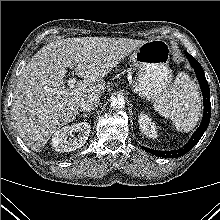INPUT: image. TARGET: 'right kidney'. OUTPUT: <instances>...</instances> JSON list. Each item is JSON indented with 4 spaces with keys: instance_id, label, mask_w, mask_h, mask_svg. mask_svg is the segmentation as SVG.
Returning a JSON list of instances; mask_svg holds the SVG:
<instances>
[{
    "instance_id": "1",
    "label": "right kidney",
    "mask_w": 220,
    "mask_h": 220,
    "mask_svg": "<svg viewBox=\"0 0 220 220\" xmlns=\"http://www.w3.org/2000/svg\"><path fill=\"white\" fill-rule=\"evenodd\" d=\"M90 124L88 122H80L72 126H64L54 133L52 136V148L56 152H71L82 147L88 139L90 133ZM73 132H79L76 137ZM71 136V137H69Z\"/></svg>"
}]
</instances>
